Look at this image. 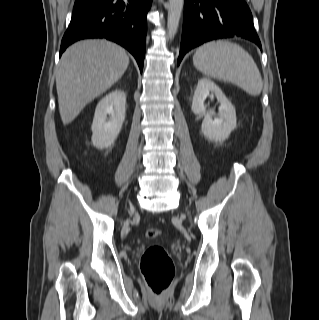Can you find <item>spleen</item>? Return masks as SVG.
<instances>
[{"instance_id":"obj_1","label":"spleen","mask_w":319,"mask_h":320,"mask_svg":"<svg viewBox=\"0 0 319 320\" xmlns=\"http://www.w3.org/2000/svg\"><path fill=\"white\" fill-rule=\"evenodd\" d=\"M193 64L205 75L233 83L250 95L258 96L263 89V80L253 58L235 43L207 42L196 50Z\"/></svg>"}]
</instances>
